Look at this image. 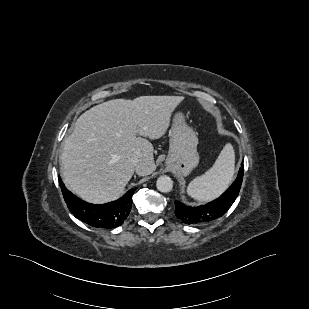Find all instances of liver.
<instances>
[{
  "instance_id": "6515ba94",
  "label": "liver",
  "mask_w": 309,
  "mask_h": 309,
  "mask_svg": "<svg viewBox=\"0 0 309 309\" xmlns=\"http://www.w3.org/2000/svg\"><path fill=\"white\" fill-rule=\"evenodd\" d=\"M182 96H140L114 99L92 107L64 139L60 155L65 185L91 203L116 200L132 178L137 157L139 176L156 170L153 145L162 137Z\"/></svg>"
}]
</instances>
